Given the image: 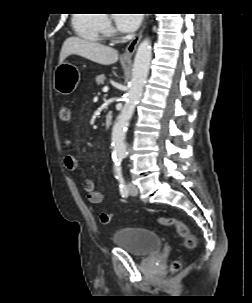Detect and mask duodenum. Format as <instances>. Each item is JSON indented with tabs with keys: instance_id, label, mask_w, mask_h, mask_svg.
<instances>
[{
	"instance_id": "duodenum-1",
	"label": "duodenum",
	"mask_w": 252,
	"mask_h": 303,
	"mask_svg": "<svg viewBox=\"0 0 252 303\" xmlns=\"http://www.w3.org/2000/svg\"><path fill=\"white\" fill-rule=\"evenodd\" d=\"M112 119H113V114L112 112H107L106 116H105V120H104V123H103V128L104 129H107L111 122H112Z\"/></svg>"
}]
</instances>
